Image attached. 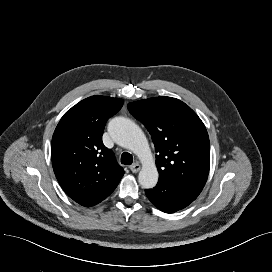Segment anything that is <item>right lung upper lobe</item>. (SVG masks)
I'll use <instances>...</instances> for the list:
<instances>
[{
	"mask_svg": "<svg viewBox=\"0 0 272 272\" xmlns=\"http://www.w3.org/2000/svg\"><path fill=\"white\" fill-rule=\"evenodd\" d=\"M123 103V99L106 96L86 98L63 115L53 134L54 173L67 195L82 206H94L107 198L124 174L102 142L106 121Z\"/></svg>",
	"mask_w": 272,
	"mask_h": 272,
	"instance_id": "1",
	"label": "right lung upper lobe"
}]
</instances>
